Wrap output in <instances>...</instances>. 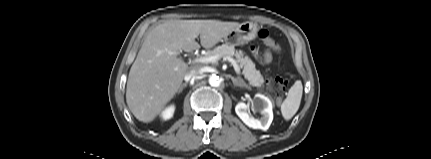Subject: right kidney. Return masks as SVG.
Instances as JSON below:
<instances>
[{"instance_id":"ca27d5eb","label":"right kidney","mask_w":431,"mask_h":159,"mask_svg":"<svg viewBox=\"0 0 431 159\" xmlns=\"http://www.w3.org/2000/svg\"><path fill=\"white\" fill-rule=\"evenodd\" d=\"M174 109H175L174 106H170V107L166 108L161 114L162 118L164 120L170 119L173 115Z\"/></svg>"}]
</instances>
